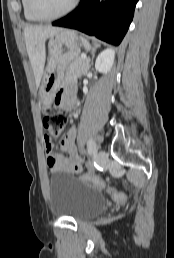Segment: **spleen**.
Here are the masks:
<instances>
[{
	"label": "spleen",
	"mask_w": 174,
	"mask_h": 258,
	"mask_svg": "<svg viewBox=\"0 0 174 258\" xmlns=\"http://www.w3.org/2000/svg\"><path fill=\"white\" fill-rule=\"evenodd\" d=\"M84 47L86 48V50H90L91 49V46H90V43L87 39H85L84 37H80Z\"/></svg>",
	"instance_id": "spleen-1"
}]
</instances>
